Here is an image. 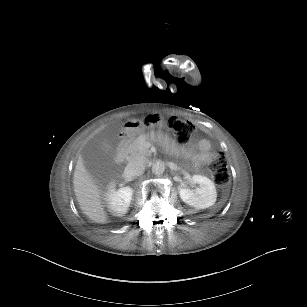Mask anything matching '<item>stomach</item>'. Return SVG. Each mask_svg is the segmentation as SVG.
Returning <instances> with one entry per match:
<instances>
[{"mask_svg":"<svg viewBox=\"0 0 307 307\" xmlns=\"http://www.w3.org/2000/svg\"><path fill=\"white\" fill-rule=\"evenodd\" d=\"M130 129L135 133H141L146 130V128L160 127L165 125L163 119L159 116L150 117L146 120H136L133 119L129 122Z\"/></svg>","mask_w":307,"mask_h":307,"instance_id":"1","label":"stomach"}]
</instances>
